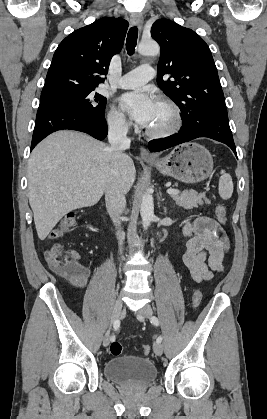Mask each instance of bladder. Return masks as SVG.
<instances>
[{
	"label": "bladder",
	"mask_w": 267,
	"mask_h": 419,
	"mask_svg": "<svg viewBox=\"0 0 267 419\" xmlns=\"http://www.w3.org/2000/svg\"><path fill=\"white\" fill-rule=\"evenodd\" d=\"M103 372L109 380L134 386L147 385L157 377V369L150 359L133 355L109 359Z\"/></svg>",
	"instance_id": "bladder-1"
}]
</instances>
